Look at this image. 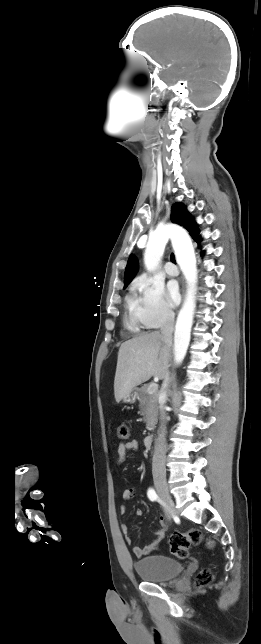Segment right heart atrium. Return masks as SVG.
Masks as SVG:
<instances>
[{
	"instance_id": "obj_1",
	"label": "right heart atrium",
	"mask_w": 261,
	"mask_h": 644,
	"mask_svg": "<svg viewBox=\"0 0 261 644\" xmlns=\"http://www.w3.org/2000/svg\"><path fill=\"white\" fill-rule=\"evenodd\" d=\"M135 313L140 323L147 328L169 324L174 313L167 302L162 285L146 277H138L133 283Z\"/></svg>"
}]
</instances>
